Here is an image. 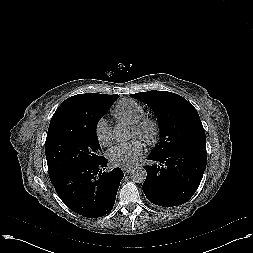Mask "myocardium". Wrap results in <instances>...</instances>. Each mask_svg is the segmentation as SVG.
Segmentation results:
<instances>
[{"instance_id": "1", "label": "myocardium", "mask_w": 253, "mask_h": 253, "mask_svg": "<svg viewBox=\"0 0 253 253\" xmlns=\"http://www.w3.org/2000/svg\"><path fill=\"white\" fill-rule=\"evenodd\" d=\"M132 129L136 132L137 137L149 145H152L157 141L160 132L157 120L150 116H143L137 122L132 124Z\"/></svg>"}]
</instances>
